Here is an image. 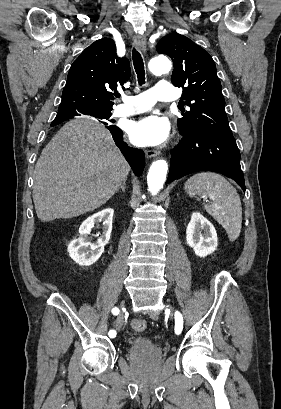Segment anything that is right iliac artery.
Instances as JSON below:
<instances>
[{
    "label": "right iliac artery",
    "instance_id": "82829eb1",
    "mask_svg": "<svg viewBox=\"0 0 281 409\" xmlns=\"http://www.w3.org/2000/svg\"><path fill=\"white\" fill-rule=\"evenodd\" d=\"M112 313H113L114 315L119 314V309L116 308V307L113 308V309H112ZM109 336H110L111 338L115 337V336H116V332H115L114 330H110Z\"/></svg>",
    "mask_w": 281,
    "mask_h": 409
}]
</instances>
